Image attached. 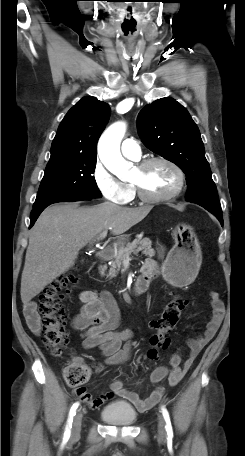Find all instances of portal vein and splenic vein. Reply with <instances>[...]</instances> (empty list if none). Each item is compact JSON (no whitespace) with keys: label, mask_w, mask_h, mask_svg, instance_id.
I'll return each instance as SVG.
<instances>
[{"label":"portal vein and splenic vein","mask_w":245,"mask_h":456,"mask_svg":"<svg viewBox=\"0 0 245 456\" xmlns=\"http://www.w3.org/2000/svg\"><path fill=\"white\" fill-rule=\"evenodd\" d=\"M106 235H107V230L102 231V233H100L98 235L97 240H101V239L105 238Z\"/></svg>","instance_id":"obj_1"}]
</instances>
